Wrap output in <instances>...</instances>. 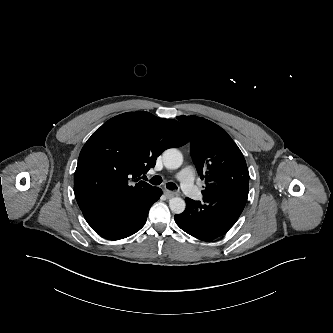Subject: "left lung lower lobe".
I'll return each mask as SVG.
<instances>
[{"label": "left lung lower lobe", "mask_w": 333, "mask_h": 333, "mask_svg": "<svg viewBox=\"0 0 333 333\" xmlns=\"http://www.w3.org/2000/svg\"><path fill=\"white\" fill-rule=\"evenodd\" d=\"M248 186V181L223 185L203 194V202L186 198L185 211L174 216L177 225L197 239H216L239 218L247 201Z\"/></svg>", "instance_id": "left-lung-lower-lobe-1"}]
</instances>
